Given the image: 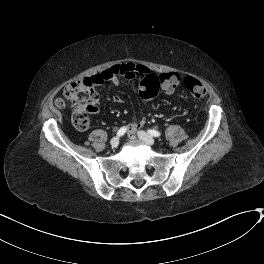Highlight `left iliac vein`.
<instances>
[{
  "label": "left iliac vein",
  "instance_id": "1",
  "mask_svg": "<svg viewBox=\"0 0 264 264\" xmlns=\"http://www.w3.org/2000/svg\"><path fill=\"white\" fill-rule=\"evenodd\" d=\"M137 136L144 141L145 143H147L148 145H154L155 144V140L153 137H151L150 135H148L146 132L144 131H138L137 132Z\"/></svg>",
  "mask_w": 264,
  "mask_h": 264
}]
</instances>
